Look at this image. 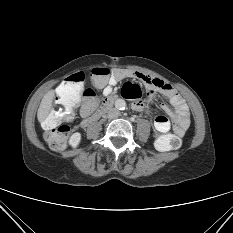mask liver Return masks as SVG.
<instances>
[{
	"label": "liver",
	"instance_id": "obj_1",
	"mask_svg": "<svg viewBox=\"0 0 233 233\" xmlns=\"http://www.w3.org/2000/svg\"><path fill=\"white\" fill-rule=\"evenodd\" d=\"M55 96V91L50 90L48 91L42 98L40 106L38 108L37 112V118L40 123H42L46 117L48 116L51 107H52V102Z\"/></svg>",
	"mask_w": 233,
	"mask_h": 233
}]
</instances>
